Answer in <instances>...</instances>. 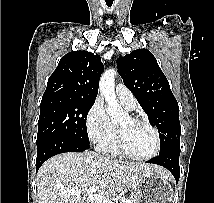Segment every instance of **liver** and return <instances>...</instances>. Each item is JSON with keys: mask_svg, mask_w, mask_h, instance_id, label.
I'll use <instances>...</instances> for the list:
<instances>
[{"mask_svg": "<svg viewBox=\"0 0 214 203\" xmlns=\"http://www.w3.org/2000/svg\"><path fill=\"white\" fill-rule=\"evenodd\" d=\"M153 169L165 174L155 165L111 160L91 151L59 154L38 171V203H84L80 195L62 193L67 189L99 186V194L105 196L132 191Z\"/></svg>", "mask_w": 214, "mask_h": 203, "instance_id": "6515ba94", "label": "liver"}]
</instances>
